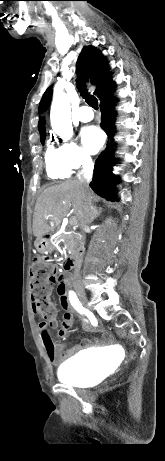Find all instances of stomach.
Masks as SVG:
<instances>
[{
    "label": "stomach",
    "mask_w": 165,
    "mask_h": 461,
    "mask_svg": "<svg viewBox=\"0 0 165 461\" xmlns=\"http://www.w3.org/2000/svg\"><path fill=\"white\" fill-rule=\"evenodd\" d=\"M35 248L38 252L44 253L46 250L50 248V242L47 238H39L35 242Z\"/></svg>",
    "instance_id": "0dacf381"
}]
</instances>
